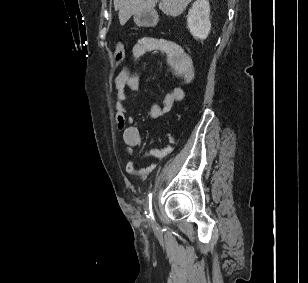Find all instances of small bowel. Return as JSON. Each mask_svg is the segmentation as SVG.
Segmentation results:
<instances>
[{"label": "small bowel", "mask_w": 308, "mask_h": 283, "mask_svg": "<svg viewBox=\"0 0 308 283\" xmlns=\"http://www.w3.org/2000/svg\"><path fill=\"white\" fill-rule=\"evenodd\" d=\"M159 52L167 56L168 63L173 72L183 79L185 84L193 82L195 71L192 59L187 51L176 43L153 37L140 38L132 48V55L135 58H141L147 53ZM141 78L139 74L130 73L127 68H122L114 79V86L116 89L115 101V118L118 129L122 130V137L129 155H132L135 148L141 143V136L139 130L130 125L132 118L127 114L126 101V87L132 91L140 89ZM185 91L182 87H175L171 92L166 94L162 104L153 103L150 107L151 119H158L163 114L170 111L173 105L184 99ZM174 149V140L168 135V144L166 147L153 149L152 154L157 158H163L170 154ZM155 165L146 167H138L133 162L126 164V171L130 174H147L154 169Z\"/></svg>", "instance_id": "small-bowel-1"}]
</instances>
